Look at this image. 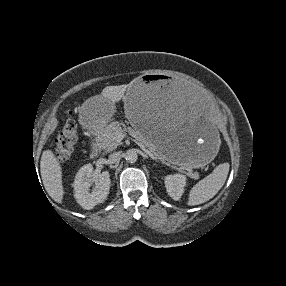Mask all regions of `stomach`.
Returning a JSON list of instances; mask_svg holds the SVG:
<instances>
[{"mask_svg": "<svg viewBox=\"0 0 286 286\" xmlns=\"http://www.w3.org/2000/svg\"><path fill=\"white\" fill-rule=\"evenodd\" d=\"M115 112L114 101L97 93L79 105L77 116L85 128L96 130L108 124ZM215 114L210 95L167 74L139 76L126 92L125 115L131 126L175 165L199 168L214 158L219 142L211 123Z\"/></svg>", "mask_w": 286, "mask_h": 286, "instance_id": "obj_1", "label": "stomach"}]
</instances>
